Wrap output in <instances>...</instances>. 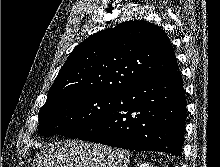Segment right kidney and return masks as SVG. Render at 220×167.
Here are the masks:
<instances>
[{"label": "right kidney", "mask_w": 220, "mask_h": 167, "mask_svg": "<svg viewBox=\"0 0 220 167\" xmlns=\"http://www.w3.org/2000/svg\"><path fill=\"white\" fill-rule=\"evenodd\" d=\"M138 167H152L149 163H142Z\"/></svg>", "instance_id": "ca27d5eb"}]
</instances>
